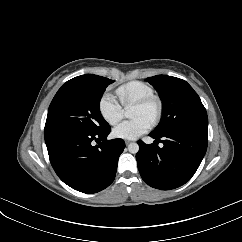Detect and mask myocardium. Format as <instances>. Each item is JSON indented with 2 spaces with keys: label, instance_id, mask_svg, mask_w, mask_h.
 Returning <instances> with one entry per match:
<instances>
[{
  "label": "myocardium",
  "instance_id": "obj_1",
  "mask_svg": "<svg viewBox=\"0 0 242 242\" xmlns=\"http://www.w3.org/2000/svg\"><path fill=\"white\" fill-rule=\"evenodd\" d=\"M133 105L142 108L150 107L153 109V118L151 121L152 125H156L160 121L163 111V105L162 101L157 96L151 95L145 97L143 99L136 101Z\"/></svg>",
  "mask_w": 242,
  "mask_h": 242
}]
</instances>
